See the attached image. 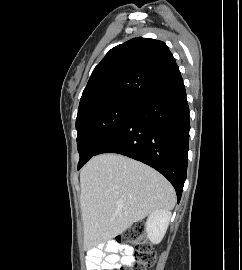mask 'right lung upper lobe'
<instances>
[{"label":"right lung upper lobe","instance_id":"obj_1","mask_svg":"<svg viewBox=\"0 0 242 270\" xmlns=\"http://www.w3.org/2000/svg\"><path fill=\"white\" fill-rule=\"evenodd\" d=\"M180 75L167 45L134 38L112 48L94 68L83 91L78 114L109 102H137Z\"/></svg>","mask_w":242,"mask_h":270}]
</instances>
